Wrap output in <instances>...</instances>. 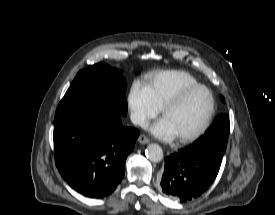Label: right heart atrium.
I'll return each mask as SVG.
<instances>
[{
  "label": "right heart atrium",
  "instance_id": "right-heart-atrium-1",
  "mask_svg": "<svg viewBox=\"0 0 275 215\" xmlns=\"http://www.w3.org/2000/svg\"><path fill=\"white\" fill-rule=\"evenodd\" d=\"M132 121L144 126L149 120L155 118L160 108L152 99L147 87L140 82H134L128 96Z\"/></svg>",
  "mask_w": 275,
  "mask_h": 215
}]
</instances>
